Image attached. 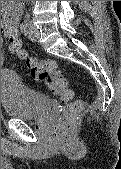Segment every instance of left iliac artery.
I'll return each mask as SVG.
<instances>
[{
  "mask_svg": "<svg viewBox=\"0 0 121 169\" xmlns=\"http://www.w3.org/2000/svg\"><path fill=\"white\" fill-rule=\"evenodd\" d=\"M30 26V21L29 20H25L22 24H21V30L26 33L29 29Z\"/></svg>",
  "mask_w": 121,
  "mask_h": 169,
  "instance_id": "left-iliac-artery-1",
  "label": "left iliac artery"
}]
</instances>
